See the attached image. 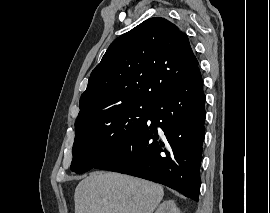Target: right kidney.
Wrapping results in <instances>:
<instances>
[{
	"mask_svg": "<svg viewBox=\"0 0 270 213\" xmlns=\"http://www.w3.org/2000/svg\"><path fill=\"white\" fill-rule=\"evenodd\" d=\"M155 213H180V210L173 200H167L159 205Z\"/></svg>",
	"mask_w": 270,
	"mask_h": 213,
	"instance_id": "ca27d5eb",
	"label": "right kidney"
}]
</instances>
